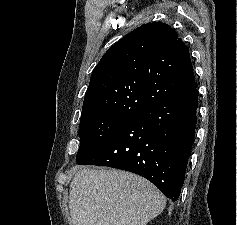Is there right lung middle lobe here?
<instances>
[{
  "instance_id": "dd1d6c3e",
  "label": "right lung middle lobe",
  "mask_w": 237,
  "mask_h": 225,
  "mask_svg": "<svg viewBox=\"0 0 237 225\" xmlns=\"http://www.w3.org/2000/svg\"><path fill=\"white\" fill-rule=\"evenodd\" d=\"M133 116H99L80 119L77 162L123 127Z\"/></svg>"
}]
</instances>
